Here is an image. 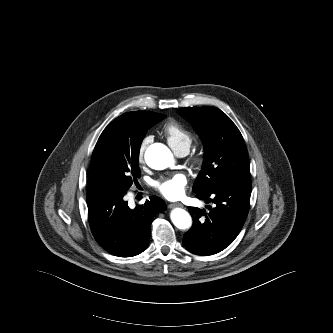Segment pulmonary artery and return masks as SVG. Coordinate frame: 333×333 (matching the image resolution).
Masks as SVG:
<instances>
[{"label": "pulmonary artery", "instance_id": "obj_1", "mask_svg": "<svg viewBox=\"0 0 333 333\" xmlns=\"http://www.w3.org/2000/svg\"><path fill=\"white\" fill-rule=\"evenodd\" d=\"M187 153H188L187 150H181V151L177 152V154H178L179 156H181V157L186 156Z\"/></svg>", "mask_w": 333, "mask_h": 333}]
</instances>
